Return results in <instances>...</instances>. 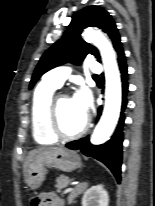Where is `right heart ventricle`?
Returning a JSON list of instances; mask_svg holds the SVG:
<instances>
[{"mask_svg": "<svg viewBox=\"0 0 155 206\" xmlns=\"http://www.w3.org/2000/svg\"><path fill=\"white\" fill-rule=\"evenodd\" d=\"M56 88L43 81L33 94L30 112L32 134L41 145L53 144L57 139L48 126V108Z\"/></svg>", "mask_w": 155, "mask_h": 206, "instance_id": "obj_1", "label": "right heart ventricle"}]
</instances>
